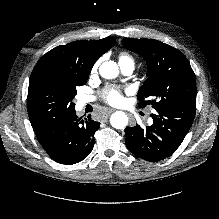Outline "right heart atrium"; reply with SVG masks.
Segmentation results:
<instances>
[{
	"label": "right heart atrium",
	"mask_w": 219,
	"mask_h": 219,
	"mask_svg": "<svg viewBox=\"0 0 219 219\" xmlns=\"http://www.w3.org/2000/svg\"><path fill=\"white\" fill-rule=\"evenodd\" d=\"M97 68V65L94 66V70Z\"/></svg>",
	"instance_id": "right-heart-atrium-1"
}]
</instances>
